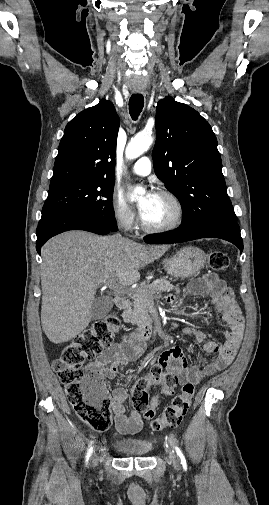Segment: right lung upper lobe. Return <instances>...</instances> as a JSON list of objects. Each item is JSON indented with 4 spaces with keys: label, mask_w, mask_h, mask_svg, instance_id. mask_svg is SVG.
Wrapping results in <instances>:
<instances>
[{
    "label": "right lung upper lobe",
    "mask_w": 269,
    "mask_h": 505,
    "mask_svg": "<svg viewBox=\"0 0 269 505\" xmlns=\"http://www.w3.org/2000/svg\"><path fill=\"white\" fill-rule=\"evenodd\" d=\"M119 118L111 101L83 110L66 126L50 188L80 181L114 180Z\"/></svg>",
    "instance_id": "1"
}]
</instances>
